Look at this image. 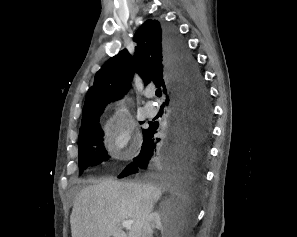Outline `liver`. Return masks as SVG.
I'll list each match as a JSON object with an SVG mask.
<instances>
[{
  "label": "liver",
  "mask_w": 297,
  "mask_h": 237,
  "mask_svg": "<svg viewBox=\"0 0 297 237\" xmlns=\"http://www.w3.org/2000/svg\"><path fill=\"white\" fill-rule=\"evenodd\" d=\"M162 187L152 183L103 180L81 190L70 216L72 237H141ZM133 220L128 233L121 222Z\"/></svg>",
  "instance_id": "1"
}]
</instances>
